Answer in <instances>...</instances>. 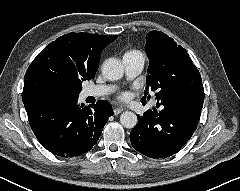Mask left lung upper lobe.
<instances>
[{
	"instance_id": "left-lung-upper-lobe-1",
	"label": "left lung upper lobe",
	"mask_w": 240,
	"mask_h": 191,
	"mask_svg": "<svg viewBox=\"0 0 240 191\" xmlns=\"http://www.w3.org/2000/svg\"><path fill=\"white\" fill-rule=\"evenodd\" d=\"M145 49L149 58L146 88L141 102L155 93L156 106H162L188 93L192 85H202L198 69L187 51L163 32L146 35Z\"/></svg>"
}]
</instances>
